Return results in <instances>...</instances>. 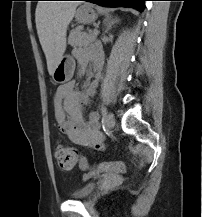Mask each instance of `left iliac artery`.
Returning <instances> with one entry per match:
<instances>
[{"mask_svg":"<svg viewBox=\"0 0 202 217\" xmlns=\"http://www.w3.org/2000/svg\"><path fill=\"white\" fill-rule=\"evenodd\" d=\"M101 114H102V120H101V123H102V127L103 129L105 128V116L107 114V110L105 107H102L101 108Z\"/></svg>","mask_w":202,"mask_h":217,"instance_id":"left-iliac-artery-1","label":"left iliac artery"}]
</instances>
